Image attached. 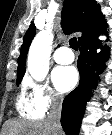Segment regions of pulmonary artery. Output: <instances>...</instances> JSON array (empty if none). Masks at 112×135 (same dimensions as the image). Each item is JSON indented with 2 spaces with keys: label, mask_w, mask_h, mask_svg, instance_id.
Returning <instances> with one entry per match:
<instances>
[{
  "label": "pulmonary artery",
  "mask_w": 112,
  "mask_h": 135,
  "mask_svg": "<svg viewBox=\"0 0 112 135\" xmlns=\"http://www.w3.org/2000/svg\"><path fill=\"white\" fill-rule=\"evenodd\" d=\"M53 58L58 64H70L74 61V54L69 48L60 47L54 52Z\"/></svg>",
  "instance_id": "obj_1"
}]
</instances>
